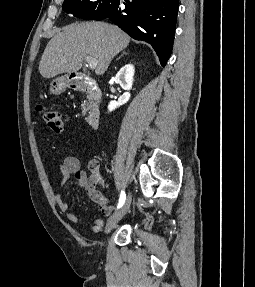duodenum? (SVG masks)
<instances>
[{
	"label": "duodenum",
	"instance_id": "410a0bca",
	"mask_svg": "<svg viewBox=\"0 0 255 287\" xmlns=\"http://www.w3.org/2000/svg\"><path fill=\"white\" fill-rule=\"evenodd\" d=\"M69 87L89 96L92 108L88 114L87 122L91 128L97 129L100 123V111L97 103L101 97V91L96 82L89 78H74L69 81Z\"/></svg>",
	"mask_w": 255,
	"mask_h": 287
}]
</instances>
